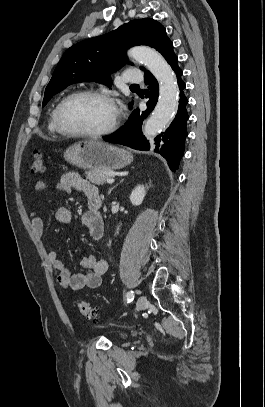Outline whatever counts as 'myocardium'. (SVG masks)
<instances>
[{
    "label": "myocardium",
    "instance_id": "myocardium-1",
    "mask_svg": "<svg viewBox=\"0 0 265 407\" xmlns=\"http://www.w3.org/2000/svg\"><path fill=\"white\" fill-rule=\"evenodd\" d=\"M80 97L97 98V99H101V100H104V101L110 103L114 107L115 112H116L115 117H114L113 121L111 122V124L108 127H106L105 129L95 131V132H82V131L70 129L66 125L65 120H64L65 107L71 100H73L75 98H80ZM119 121H120L119 112L116 108V105H115L113 99L109 95H107L103 92H100V91H96V90H80V91L72 92L61 100V102L58 104L57 110H56L57 127L63 135H66L69 137L91 138V139L104 137V136H107V135L113 133L117 129V127L119 125Z\"/></svg>",
    "mask_w": 265,
    "mask_h": 407
}]
</instances>
